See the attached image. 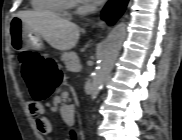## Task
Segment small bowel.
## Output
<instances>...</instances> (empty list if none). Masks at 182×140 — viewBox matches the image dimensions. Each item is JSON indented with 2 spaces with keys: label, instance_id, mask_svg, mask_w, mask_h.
<instances>
[{
  "label": "small bowel",
  "instance_id": "obj_1",
  "mask_svg": "<svg viewBox=\"0 0 182 140\" xmlns=\"http://www.w3.org/2000/svg\"><path fill=\"white\" fill-rule=\"evenodd\" d=\"M29 112L35 117V125L37 130L51 140L52 124L45 115V108L39 101H30L28 103Z\"/></svg>",
  "mask_w": 182,
  "mask_h": 140
}]
</instances>
